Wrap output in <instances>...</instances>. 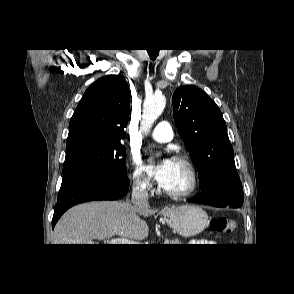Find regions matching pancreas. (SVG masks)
Listing matches in <instances>:
<instances>
[{
    "label": "pancreas",
    "mask_w": 294,
    "mask_h": 294,
    "mask_svg": "<svg viewBox=\"0 0 294 294\" xmlns=\"http://www.w3.org/2000/svg\"><path fill=\"white\" fill-rule=\"evenodd\" d=\"M176 243H177V242L174 241V242H172L171 244H176Z\"/></svg>",
    "instance_id": "cf45deb5"
}]
</instances>
